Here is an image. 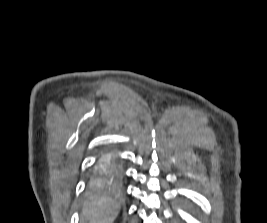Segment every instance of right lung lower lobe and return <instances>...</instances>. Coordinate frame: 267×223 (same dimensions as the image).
Segmentation results:
<instances>
[{"label":"right lung lower lobe","mask_w":267,"mask_h":223,"mask_svg":"<svg viewBox=\"0 0 267 223\" xmlns=\"http://www.w3.org/2000/svg\"><path fill=\"white\" fill-rule=\"evenodd\" d=\"M124 174L121 159L113 152L102 155L94 169L92 186L94 188L117 187L122 183Z\"/></svg>","instance_id":"right-lung-lower-lobe-1"}]
</instances>
